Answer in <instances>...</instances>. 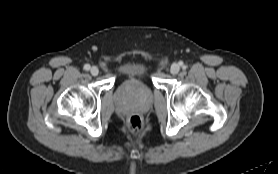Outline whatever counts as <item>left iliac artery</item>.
<instances>
[{
    "instance_id": "left-iliac-artery-1",
    "label": "left iliac artery",
    "mask_w": 278,
    "mask_h": 174,
    "mask_svg": "<svg viewBox=\"0 0 278 174\" xmlns=\"http://www.w3.org/2000/svg\"><path fill=\"white\" fill-rule=\"evenodd\" d=\"M179 64H180L181 66H183V62H180Z\"/></svg>"
}]
</instances>
